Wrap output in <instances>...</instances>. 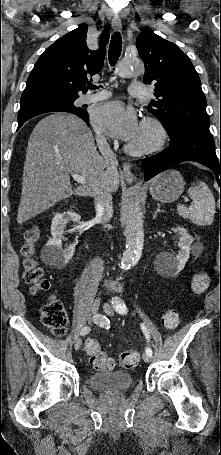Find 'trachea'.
Masks as SVG:
<instances>
[{"instance_id":"obj_1","label":"trachea","mask_w":221,"mask_h":455,"mask_svg":"<svg viewBox=\"0 0 221 455\" xmlns=\"http://www.w3.org/2000/svg\"><path fill=\"white\" fill-rule=\"evenodd\" d=\"M122 50V37L119 32L112 35L109 45V62L111 66H114L120 57ZM88 89H96L97 87L93 84H88Z\"/></svg>"}]
</instances>
